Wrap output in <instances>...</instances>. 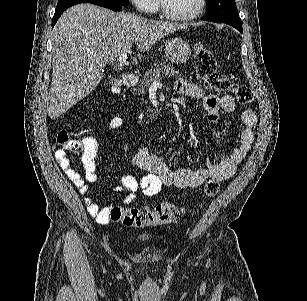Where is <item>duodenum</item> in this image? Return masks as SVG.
<instances>
[{"label":"duodenum","instance_id":"duodenum-1","mask_svg":"<svg viewBox=\"0 0 307 301\" xmlns=\"http://www.w3.org/2000/svg\"><path fill=\"white\" fill-rule=\"evenodd\" d=\"M123 82L127 87H132L136 83V78L131 74H125L123 76Z\"/></svg>","mask_w":307,"mask_h":301}]
</instances>
